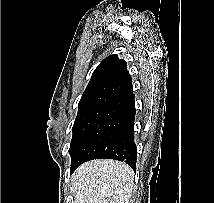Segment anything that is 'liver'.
<instances>
[{
	"instance_id": "obj_1",
	"label": "liver",
	"mask_w": 214,
	"mask_h": 203,
	"mask_svg": "<svg viewBox=\"0 0 214 203\" xmlns=\"http://www.w3.org/2000/svg\"><path fill=\"white\" fill-rule=\"evenodd\" d=\"M134 185V172L125 163L92 160L73 174L74 203H128Z\"/></svg>"
}]
</instances>
